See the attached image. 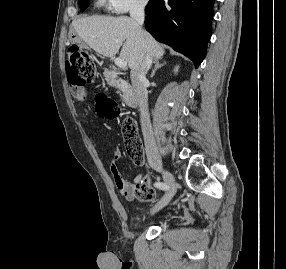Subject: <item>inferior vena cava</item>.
<instances>
[{
    "instance_id": "1",
    "label": "inferior vena cava",
    "mask_w": 286,
    "mask_h": 269,
    "mask_svg": "<svg viewBox=\"0 0 286 269\" xmlns=\"http://www.w3.org/2000/svg\"><path fill=\"white\" fill-rule=\"evenodd\" d=\"M144 7V4H137L134 5L130 10V16L133 20H135L140 30L142 29L145 18ZM151 64L152 57L149 54H146L141 66L137 70L131 71V81L139 106L141 129L144 137L145 150L148 161H154L158 158V151L150 122V115L148 110V91L146 88V84L148 82L146 74L150 69Z\"/></svg>"
}]
</instances>
